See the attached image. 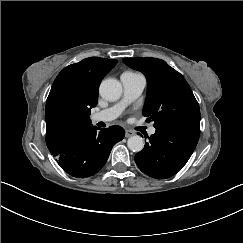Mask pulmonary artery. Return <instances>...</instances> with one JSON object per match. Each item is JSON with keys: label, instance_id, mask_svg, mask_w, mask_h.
Segmentation results:
<instances>
[{"label": "pulmonary artery", "instance_id": "e3ab8cb5", "mask_svg": "<svg viewBox=\"0 0 243 243\" xmlns=\"http://www.w3.org/2000/svg\"><path fill=\"white\" fill-rule=\"evenodd\" d=\"M121 82L123 85L122 99L112 107L92 114V122H110L116 119L125 105L134 101L141 95L146 85V80L142 75H140L138 79L121 78ZM148 133L149 135H154L156 133V128L153 125L150 126Z\"/></svg>", "mask_w": 243, "mask_h": 243}]
</instances>
